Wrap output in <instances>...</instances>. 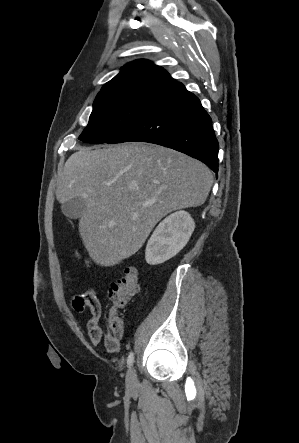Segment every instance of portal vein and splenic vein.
Returning a JSON list of instances; mask_svg holds the SVG:
<instances>
[{
	"mask_svg": "<svg viewBox=\"0 0 299 443\" xmlns=\"http://www.w3.org/2000/svg\"><path fill=\"white\" fill-rule=\"evenodd\" d=\"M153 202H146L145 204H144V206H149V205H151Z\"/></svg>",
	"mask_w": 299,
	"mask_h": 443,
	"instance_id": "obj_1",
	"label": "portal vein and splenic vein"
}]
</instances>
